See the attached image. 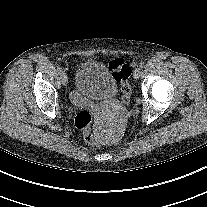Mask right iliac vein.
<instances>
[{"label": "right iliac vein", "instance_id": "right-iliac-vein-1", "mask_svg": "<svg viewBox=\"0 0 207 207\" xmlns=\"http://www.w3.org/2000/svg\"><path fill=\"white\" fill-rule=\"evenodd\" d=\"M61 82H62V84L63 85H67V83H68V78H67V75L64 73V74H62V76H61Z\"/></svg>", "mask_w": 207, "mask_h": 207}]
</instances>
